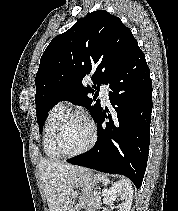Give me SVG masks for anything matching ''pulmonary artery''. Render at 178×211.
Masks as SVG:
<instances>
[{"label": "pulmonary artery", "mask_w": 178, "mask_h": 211, "mask_svg": "<svg viewBox=\"0 0 178 211\" xmlns=\"http://www.w3.org/2000/svg\"><path fill=\"white\" fill-rule=\"evenodd\" d=\"M100 98L105 103L109 102V87H108V85L102 84L100 86Z\"/></svg>", "instance_id": "pulmonary-artery-1"}]
</instances>
